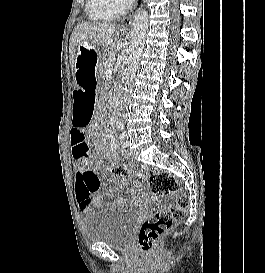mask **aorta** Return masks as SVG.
<instances>
[{
	"instance_id": "762f6f07",
	"label": "aorta",
	"mask_w": 265,
	"mask_h": 273,
	"mask_svg": "<svg viewBox=\"0 0 265 273\" xmlns=\"http://www.w3.org/2000/svg\"><path fill=\"white\" fill-rule=\"evenodd\" d=\"M149 17L146 10L139 11L133 21L130 55L123 71L122 81L130 83L137 71L138 62L142 54L144 41L148 32Z\"/></svg>"
}]
</instances>
